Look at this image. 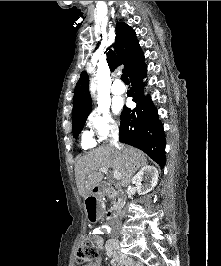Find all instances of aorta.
<instances>
[{
	"mask_svg": "<svg viewBox=\"0 0 221 266\" xmlns=\"http://www.w3.org/2000/svg\"><path fill=\"white\" fill-rule=\"evenodd\" d=\"M90 89H91V92H92V93L95 92L96 85H95L94 81L91 82V84H90Z\"/></svg>",
	"mask_w": 221,
	"mask_h": 266,
	"instance_id": "aorta-1",
	"label": "aorta"
}]
</instances>
